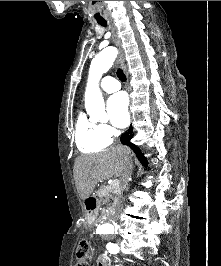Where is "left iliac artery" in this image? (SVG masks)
<instances>
[{
  "instance_id": "44dca946",
  "label": "left iliac artery",
  "mask_w": 221,
  "mask_h": 266,
  "mask_svg": "<svg viewBox=\"0 0 221 266\" xmlns=\"http://www.w3.org/2000/svg\"><path fill=\"white\" fill-rule=\"evenodd\" d=\"M107 250L111 253V254H116L119 252V247L117 244L111 243L109 242L107 244Z\"/></svg>"
}]
</instances>
